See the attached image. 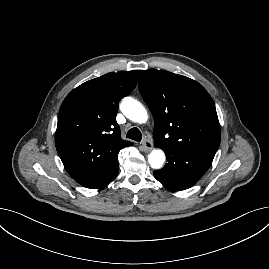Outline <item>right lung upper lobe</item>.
<instances>
[{
  "label": "right lung upper lobe",
  "instance_id": "obj_1",
  "mask_svg": "<svg viewBox=\"0 0 269 269\" xmlns=\"http://www.w3.org/2000/svg\"><path fill=\"white\" fill-rule=\"evenodd\" d=\"M139 71L111 72L72 90L63 101L55 133L59 157L69 175L87 187L118 161L132 143L121 138L118 104L136 86Z\"/></svg>",
  "mask_w": 269,
  "mask_h": 269
}]
</instances>
